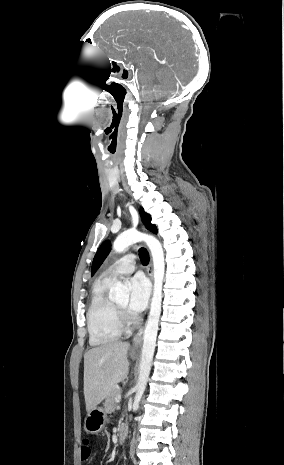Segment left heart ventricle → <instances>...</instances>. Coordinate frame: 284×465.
<instances>
[{
    "mask_svg": "<svg viewBox=\"0 0 284 465\" xmlns=\"http://www.w3.org/2000/svg\"><path fill=\"white\" fill-rule=\"evenodd\" d=\"M117 306L124 312H127V303L126 302H120L117 304Z\"/></svg>",
    "mask_w": 284,
    "mask_h": 465,
    "instance_id": "b2bd125f",
    "label": "left heart ventricle"
}]
</instances>
